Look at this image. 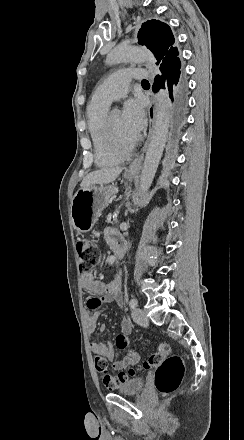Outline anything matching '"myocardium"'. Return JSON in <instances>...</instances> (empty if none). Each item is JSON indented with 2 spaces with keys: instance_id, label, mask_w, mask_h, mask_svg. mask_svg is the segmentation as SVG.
I'll list each match as a JSON object with an SVG mask.
<instances>
[{
  "instance_id": "f54148a6",
  "label": "myocardium",
  "mask_w": 244,
  "mask_h": 440,
  "mask_svg": "<svg viewBox=\"0 0 244 440\" xmlns=\"http://www.w3.org/2000/svg\"><path fill=\"white\" fill-rule=\"evenodd\" d=\"M114 110H108L105 117H104V125L101 127L103 130H106L102 135L104 136L102 139L106 141V147H115L116 145L120 146H128L130 145V142L126 140L124 137L120 142L116 141L115 135L117 134L110 123V115ZM113 136V137H112ZM114 141H116L118 144H116ZM114 142V143H113Z\"/></svg>"
}]
</instances>
